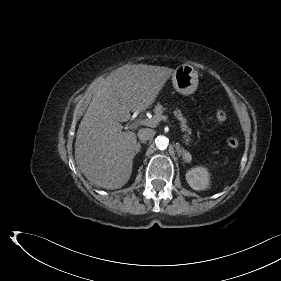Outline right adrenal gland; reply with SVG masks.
I'll return each mask as SVG.
<instances>
[{"instance_id": "1", "label": "right adrenal gland", "mask_w": 281, "mask_h": 281, "mask_svg": "<svg viewBox=\"0 0 281 281\" xmlns=\"http://www.w3.org/2000/svg\"><path fill=\"white\" fill-rule=\"evenodd\" d=\"M142 143H145L144 141H141V142H138L136 145H135V155L140 152V149H141V144Z\"/></svg>"}]
</instances>
